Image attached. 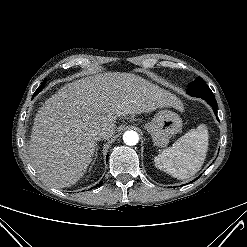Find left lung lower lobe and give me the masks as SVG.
I'll return each instance as SVG.
<instances>
[{
  "label": "left lung lower lobe",
  "mask_w": 247,
  "mask_h": 247,
  "mask_svg": "<svg viewBox=\"0 0 247 247\" xmlns=\"http://www.w3.org/2000/svg\"><path fill=\"white\" fill-rule=\"evenodd\" d=\"M203 99L212 107V109L216 113V111H217V101H216L215 97H204Z\"/></svg>",
  "instance_id": "left-lung-lower-lobe-1"
}]
</instances>
